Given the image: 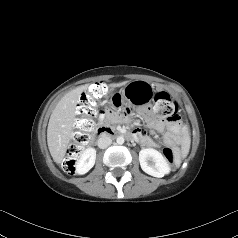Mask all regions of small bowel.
Listing matches in <instances>:
<instances>
[{
	"instance_id": "small-bowel-1",
	"label": "small bowel",
	"mask_w": 238,
	"mask_h": 238,
	"mask_svg": "<svg viewBox=\"0 0 238 238\" xmlns=\"http://www.w3.org/2000/svg\"><path fill=\"white\" fill-rule=\"evenodd\" d=\"M153 112V107L150 104H145L142 107L141 114L148 122L149 126L157 132H163V145L166 147H186L188 143L187 135L181 123L173 121L170 123H165L160 121L157 115L150 114ZM103 118V115L101 116ZM136 140L147 147L158 146V142L155 141L144 131H135Z\"/></svg>"
}]
</instances>
